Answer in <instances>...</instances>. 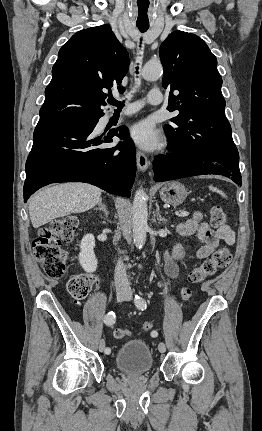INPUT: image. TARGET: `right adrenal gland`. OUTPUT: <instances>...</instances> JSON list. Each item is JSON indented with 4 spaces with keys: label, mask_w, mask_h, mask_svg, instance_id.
Wrapping results in <instances>:
<instances>
[{
    "label": "right adrenal gland",
    "mask_w": 262,
    "mask_h": 431,
    "mask_svg": "<svg viewBox=\"0 0 262 431\" xmlns=\"http://www.w3.org/2000/svg\"><path fill=\"white\" fill-rule=\"evenodd\" d=\"M95 210H102L106 214V216L108 217L109 212H108L106 206L102 203V199L98 203V207L95 208Z\"/></svg>",
    "instance_id": "right-adrenal-gland-1"
}]
</instances>
